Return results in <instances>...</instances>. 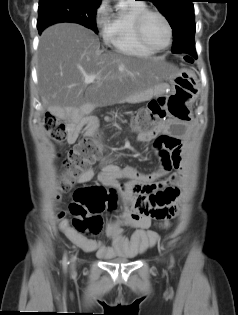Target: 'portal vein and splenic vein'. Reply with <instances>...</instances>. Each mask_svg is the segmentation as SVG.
<instances>
[{
    "mask_svg": "<svg viewBox=\"0 0 238 315\" xmlns=\"http://www.w3.org/2000/svg\"><path fill=\"white\" fill-rule=\"evenodd\" d=\"M96 79V75L92 74V75H86L85 76V83H92L94 82Z\"/></svg>",
    "mask_w": 238,
    "mask_h": 315,
    "instance_id": "portal-vein-and-splenic-vein-1",
    "label": "portal vein and splenic vein"
}]
</instances>
